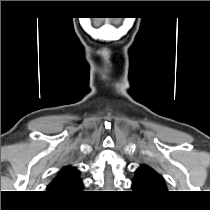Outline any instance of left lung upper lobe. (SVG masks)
<instances>
[{"mask_svg":"<svg viewBox=\"0 0 210 210\" xmlns=\"http://www.w3.org/2000/svg\"><path fill=\"white\" fill-rule=\"evenodd\" d=\"M135 173V178L132 181V188L135 191L148 195H158L167 192L163 177L151 167L141 164Z\"/></svg>","mask_w":210,"mask_h":210,"instance_id":"left-lung-upper-lobe-1","label":"left lung upper lobe"}]
</instances>
